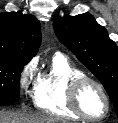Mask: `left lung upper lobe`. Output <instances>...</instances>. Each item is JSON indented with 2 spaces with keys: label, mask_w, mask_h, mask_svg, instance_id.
<instances>
[{
  "label": "left lung upper lobe",
  "mask_w": 118,
  "mask_h": 123,
  "mask_svg": "<svg viewBox=\"0 0 118 123\" xmlns=\"http://www.w3.org/2000/svg\"><path fill=\"white\" fill-rule=\"evenodd\" d=\"M62 44L100 80L118 116V47L90 14L65 16L53 22Z\"/></svg>",
  "instance_id": "1"
}]
</instances>
